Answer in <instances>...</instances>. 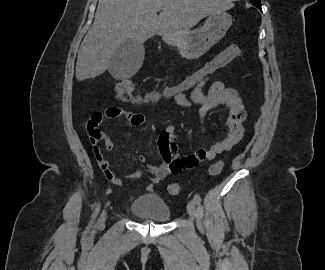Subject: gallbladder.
<instances>
[{
	"label": "gallbladder",
	"mask_w": 325,
	"mask_h": 270,
	"mask_svg": "<svg viewBox=\"0 0 325 270\" xmlns=\"http://www.w3.org/2000/svg\"><path fill=\"white\" fill-rule=\"evenodd\" d=\"M145 49L142 44L129 39L114 52L109 63V73L116 79L132 77L141 67Z\"/></svg>",
	"instance_id": "1"
}]
</instances>
